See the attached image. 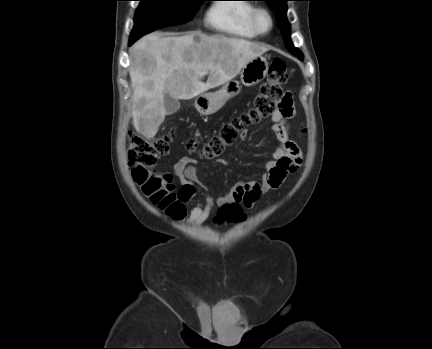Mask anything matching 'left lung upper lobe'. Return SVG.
Listing matches in <instances>:
<instances>
[{"instance_id":"obj_1","label":"left lung upper lobe","mask_w":432,"mask_h":349,"mask_svg":"<svg viewBox=\"0 0 432 349\" xmlns=\"http://www.w3.org/2000/svg\"><path fill=\"white\" fill-rule=\"evenodd\" d=\"M262 1H266L267 4L270 6V8L275 12L287 49L292 54L297 56L300 60H302L303 59L302 52L298 48L294 47L289 35L290 24L288 23L286 18V1L288 0H262Z\"/></svg>"}]
</instances>
